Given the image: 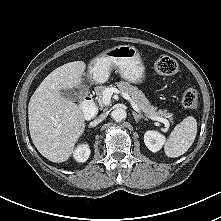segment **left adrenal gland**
Masks as SVG:
<instances>
[{
  "label": "left adrenal gland",
  "mask_w": 221,
  "mask_h": 221,
  "mask_svg": "<svg viewBox=\"0 0 221 221\" xmlns=\"http://www.w3.org/2000/svg\"><path fill=\"white\" fill-rule=\"evenodd\" d=\"M132 115H133V117H134L136 123H138L140 119L147 120L146 117H144L143 115L137 114V113H135V112H132Z\"/></svg>",
  "instance_id": "obj_1"
}]
</instances>
